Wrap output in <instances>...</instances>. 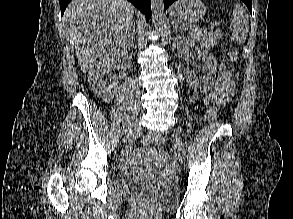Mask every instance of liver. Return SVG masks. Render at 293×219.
<instances>
[{
	"label": "liver",
	"mask_w": 293,
	"mask_h": 219,
	"mask_svg": "<svg viewBox=\"0 0 293 219\" xmlns=\"http://www.w3.org/2000/svg\"><path fill=\"white\" fill-rule=\"evenodd\" d=\"M134 7L126 0H72L63 21L75 43L79 66L88 71L97 58H115L132 47Z\"/></svg>",
	"instance_id": "liver-1"
}]
</instances>
